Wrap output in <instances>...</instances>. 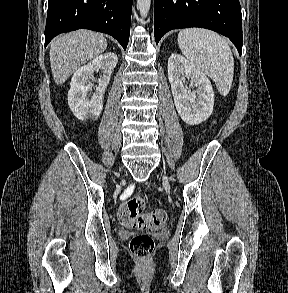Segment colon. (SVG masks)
<instances>
[{
    "instance_id": "colon-1",
    "label": "colon",
    "mask_w": 288,
    "mask_h": 293,
    "mask_svg": "<svg viewBox=\"0 0 288 293\" xmlns=\"http://www.w3.org/2000/svg\"><path fill=\"white\" fill-rule=\"evenodd\" d=\"M145 204L143 196H135L123 202L118 212L120 222L126 227L138 230L162 227L167 221L166 212L159 209L144 212ZM130 249L136 258L145 259L152 254L154 241L149 235H136L130 242Z\"/></svg>"
}]
</instances>
